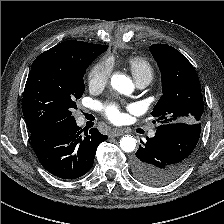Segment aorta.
Wrapping results in <instances>:
<instances>
[{
	"label": "aorta",
	"mask_w": 224,
	"mask_h": 224,
	"mask_svg": "<svg viewBox=\"0 0 224 224\" xmlns=\"http://www.w3.org/2000/svg\"><path fill=\"white\" fill-rule=\"evenodd\" d=\"M112 87L120 93L129 95L134 89L130 78L123 74H114L111 78ZM136 139L131 135H125L120 140V148L124 152H132L136 148Z\"/></svg>",
	"instance_id": "obj_1"
}]
</instances>
